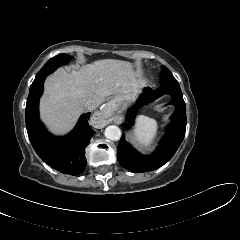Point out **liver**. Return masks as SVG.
<instances>
[{
    "label": "liver",
    "instance_id": "liver-1",
    "mask_svg": "<svg viewBox=\"0 0 240 240\" xmlns=\"http://www.w3.org/2000/svg\"><path fill=\"white\" fill-rule=\"evenodd\" d=\"M143 82L127 61L104 59L71 73L60 68L46 78L40 117L58 135L69 132L83 113L84 103L98 107L107 96L139 91Z\"/></svg>",
    "mask_w": 240,
    "mask_h": 240
}]
</instances>
